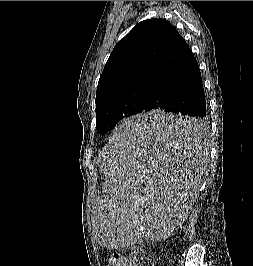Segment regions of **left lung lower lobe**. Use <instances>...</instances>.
Returning <instances> with one entry per match:
<instances>
[{"label":"left lung lower lobe","instance_id":"obj_1","mask_svg":"<svg viewBox=\"0 0 253 266\" xmlns=\"http://www.w3.org/2000/svg\"><path fill=\"white\" fill-rule=\"evenodd\" d=\"M152 109L193 118L183 122L148 125V133L180 139L196 138L203 131L206 102L199 66L177 30L159 58L145 96L143 112Z\"/></svg>","mask_w":253,"mask_h":266}]
</instances>
